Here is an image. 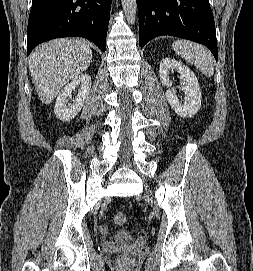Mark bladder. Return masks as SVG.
I'll list each match as a JSON object with an SVG mask.
<instances>
[{"label":"bladder","mask_w":253,"mask_h":271,"mask_svg":"<svg viewBox=\"0 0 253 271\" xmlns=\"http://www.w3.org/2000/svg\"><path fill=\"white\" fill-rule=\"evenodd\" d=\"M119 239H131L132 235L129 230H121L117 233Z\"/></svg>","instance_id":"bladder-1"}]
</instances>
